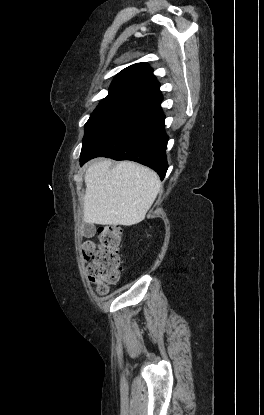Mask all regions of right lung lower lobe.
<instances>
[{
	"mask_svg": "<svg viewBox=\"0 0 264 415\" xmlns=\"http://www.w3.org/2000/svg\"><path fill=\"white\" fill-rule=\"evenodd\" d=\"M162 95L145 100L132 108L91 145L81 151L80 164L95 157L132 160L155 170L161 179L168 169V137L161 109Z\"/></svg>",
	"mask_w": 264,
	"mask_h": 415,
	"instance_id": "right-lung-lower-lobe-1",
	"label": "right lung lower lobe"
}]
</instances>
